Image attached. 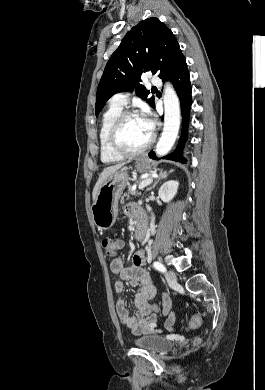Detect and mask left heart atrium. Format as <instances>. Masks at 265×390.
Masks as SVG:
<instances>
[{"label":"left heart atrium","instance_id":"left-heart-atrium-1","mask_svg":"<svg viewBox=\"0 0 265 390\" xmlns=\"http://www.w3.org/2000/svg\"><path fill=\"white\" fill-rule=\"evenodd\" d=\"M144 129L151 134V132L154 129V122L150 117L149 111L147 109H144L139 115H138Z\"/></svg>","mask_w":265,"mask_h":390}]
</instances>
